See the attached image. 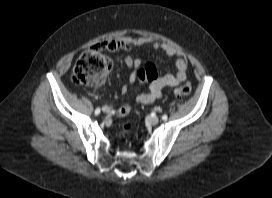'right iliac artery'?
Wrapping results in <instances>:
<instances>
[{
    "label": "right iliac artery",
    "mask_w": 272,
    "mask_h": 198,
    "mask_svg": "<svg viewBox=\"0 0 272 198\" xmlns=\"http://www.w3.org/2000/svg\"><path fill=\"white\" fill-rule=\"evenodd\" d=\"M100 113V108H97L96 110H95V115H98Z\"/></svg>",
    "instance_id": "82829eb1"
}]
</instances>
